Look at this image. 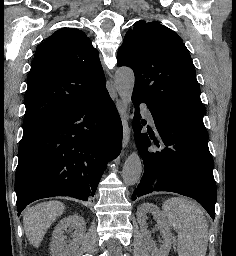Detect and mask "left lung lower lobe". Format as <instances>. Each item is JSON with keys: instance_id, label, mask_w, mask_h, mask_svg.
<instances>
[{"instance_id": "0a47b994", "label": "left lung lower lobe", "mask_w": 236, "mask_h": 256, "mask_svg": "<svg viewBox=\"0 0 236 256\" xmlns=\"http://www.w3.org/2000/svg\"><path fill=\"white\" fill-rule=\"evenodd\" d=\"M132 101L136 108V146L145 169L132 200L153 191L175 192L194 198L215 218L214 162L205 126L147 105L157 130L141 134L146 121L140 122L139 104L144 102L133 96ZM151 140L158 148L152 146Z\"/></svg>"}]
</instances>
